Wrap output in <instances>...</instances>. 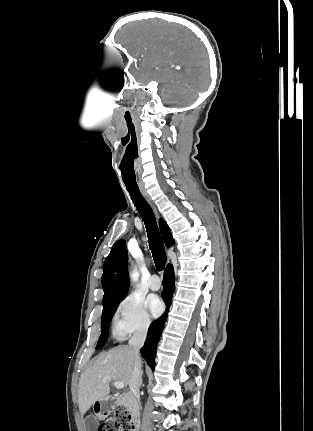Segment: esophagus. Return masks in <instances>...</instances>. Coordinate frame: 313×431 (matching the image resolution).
<instances>
[{"label":"esophagus","mask_w":313,"mask_h":431,"mask_svg":"<svg viewBox=\"0 0 313 431\" xmlns=\"http://www.w3.org/2000/svg\"><path fill=\"white\" fill-rule=\"evenodd\" d=\"M141 193H142L143 197L146 199V201L151 205V207L153 208L155 214L159 217V213L157 211V208H156L155 204L153 203L151 197L147 193V191L145 189H141Z\"/></svg>","instance_id":"esophagus-1"}]
</instances>
